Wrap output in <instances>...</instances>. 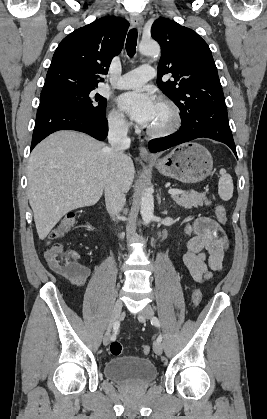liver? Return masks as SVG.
I'll return each mask as SVG.
<instances>
[{
  "mask_svg": "<svg viewBox=\"0 0 267 419\" xmlns=\"http://www.w3.org/2000/svg\"><path fill=\"white\" fill-rule=\"evenodd\" d=\"M111 169L109 147L81 132L49 135L32 151L28 162V198L38 236L44 240L59 220L77 208L96 204ZM118 172L129 190L135 169L125 155Z\"/></svg>",
  "mask_w": 267,
  "mask_h": 419,
  "instance_id": "6515ba94",
  "label": "liver"
}]
</instances>
